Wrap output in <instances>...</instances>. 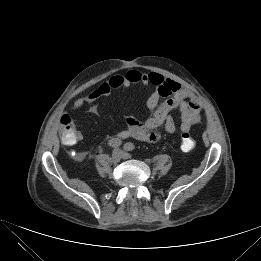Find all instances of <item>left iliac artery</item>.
<instances>
[{"mask_svg":"<svg viewBox=\"0 0 261 261\" xmlns=\"http://www.w3.org/2000/svg\"><path fill=\"white\" fill-rule=\"evenodd\" d=\"M124 149L126 150V151H132V150H134L135 149V146H134V144L133 143H126V144H124Z\"/></svg>","mask_w":261,"mask_h":261,"instance_id":"1","label":"left iliac artery"}]
</instances>
